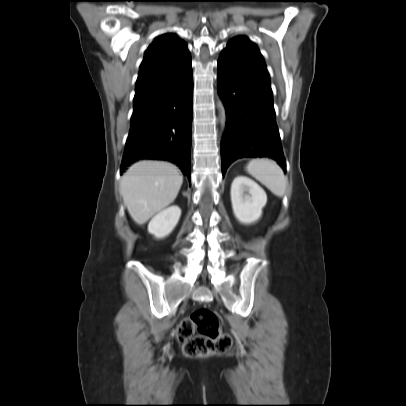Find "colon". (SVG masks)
Returning <instances> with one entry per match:
<instances>
[{
  "label": "colon",
  "mask_w": 406,
  "mask_h": 406,
  "mask_svg": "<svg viewBox=\"0 0 406 406\" xmlns=\"http://www.w3.org/2000/svg\"><path fill=\"white\" fill-rule=\"evenodd\" d=\"M198 331L197 335H194ZM177 339L183 342L187 357H205L229 351L232 346L230 335L224 333L213 311L203 308L183 319L176 329Z\"/></svg>",
  "instance_id": "obj_1"
}]
</instances>
